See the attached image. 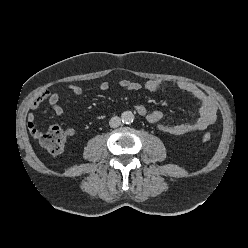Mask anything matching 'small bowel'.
Here are the masks:
<instances>
[{
    "label": "small bowel",
    "instance_id": "c3829d8e",
    "mask_svg": "<svg viewBox=\"0 0 248 248\" xmlns=\"http://www.w3.org/2000/svg\"><path fill=\"white\" fill-rule=\"evenodd\" d=\"M171 85L178 89L190 94L198 104V118L195 121L185 122L180 124H170L164 120V115L159 110L150 111L143 104L137 103L134 105L135 111L142 117H144L149 123L156 125V127L167 134L171 135H183L191 132L205 130L209 125L213 124L217 118V105L213 98L207 95L195 84L188 81H176L168 82L161 79H150L143 84L132 81L129 79H121L119 81V87L127 91H138L144 88L148 92H157L160 89ZM74 95L80 96L83 93V89L75 84H69L67 87ZM110 85L108 82H101L99 89L101 91H108ZM61 93L56 90H44L39 94L30 104L32 110H36L41 103L48 101L52 110L57 116H62L64 113L63 107L60 105ZM104 116H98V119H103ZM27 126L34 138H39L40 131L35 124V115L29 113L27 116ZM66 134L72 136L74 129L68 128Z\"/></svg>",
    "mask_w": 248,
    "mask_h": 248
}]
</instances>
